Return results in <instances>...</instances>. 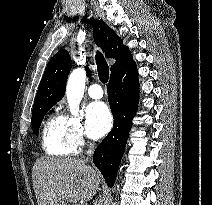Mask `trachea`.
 <instances>
[{
  "label": "trachea",
  "mask_w": 212,
  "mask_h": 205,
  "mask_svg": "<svg viewBox=\"0 0 212 205\" xmlns=\"http://www.w3.org/2000/svg\"><path fill=\"white\" fill-rule=\"evenodd\" d=\"M95 59H96L99 79L102 83H107L109 79V66L104 56L100 52L96 53Z\"/></svg>",
  "instance_id": "3493384b"
}]
</instances>
